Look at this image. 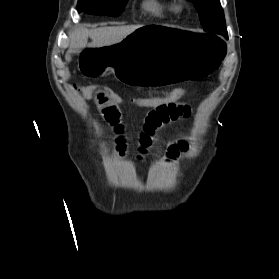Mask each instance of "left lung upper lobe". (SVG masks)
Masks as SVG:
<instances>
[{
    "mask_svg": "<svg viewBox=\"0 0 279 279\" xmlns=\"http://www.w3.org/2000/svg\"><path fill=\"white\" fill-rule=\"evenodd\" d=\"M194 3L203 29L227 37L224 12L220 0H188Z\"/></svg>",
    "mask_w": 279,
    "mask_h": 279,
    "instance_id": "left-lung-upper-lobe-1",
    "label": "left lung upper lobe"
}]
</instances>
